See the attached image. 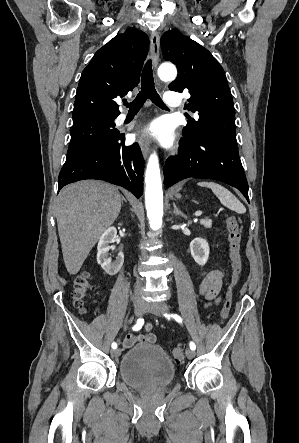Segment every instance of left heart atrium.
Instances as JSON below:
<instances>
[{
  "instance_id": "1",
  "label": "left heart atrium",
  "mask_w": 299,
  "mask_h": 443,
  "mask_svg": "<svg viewBox=\"0 0 299 443\" xmlns=\"http://www.w3.org/2000/svg\"><path fill=\"white\" fill-rule=\"evenodd\" d=\"M146 134L157 135L164 143L170 144L173 140L171 126L167 121L160 120L145 130Z\"/></svg>"
}]
</instances>
